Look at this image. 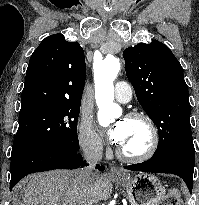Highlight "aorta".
<instances>
[{
  "mask_svg": "<svg viewBox=\"0 0 199 205\" xmlns=\"http://www.w3.org/2000/svg\"><path fill=\"white\" fill-rule=\"evenodd\" d=\"M120 61L114 56L106 57L94 67L95 99L99 107L98 120L101 125L121 113V108L114 103L113 81L120 71Z\"/></svg>",
  "mask_w": 199,
  "mask_h": 205,
  "instance_id": "aorta-1",
  "label": "aorta"
}]
</instances>
